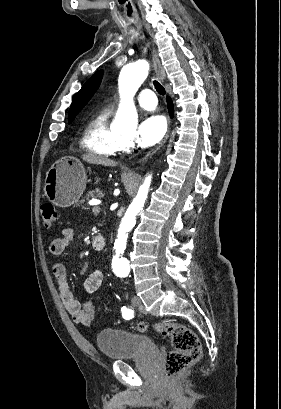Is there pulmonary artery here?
<instances>
[{
  "label": "pulmonary artery",
  "mask_w": 281,
  "mask_h": 409,
  "mask_svg": "<svg viewBox=\"0 0 281 409\" xmlns=\"http://www.w3.org/2000/svg\"><path fill=\"white\" fill-rule=\"evenodd\" d=\"M139 105L146 110H151L156 107L157 101H158V96L157 94H154L153 90H142L141 95L137 97ZM124 105H128L130 103V100L127 102H122Z\"/></svg>",
  "instance_id": "1"
}]
</instances>
